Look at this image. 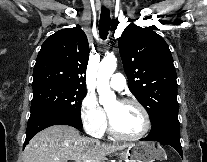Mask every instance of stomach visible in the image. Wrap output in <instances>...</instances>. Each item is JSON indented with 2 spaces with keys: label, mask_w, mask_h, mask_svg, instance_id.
<instances>
[{
  "label": "stomach",
  "mask_w": 207,
  "mask_h": 162,
  "mask_svg": "<svg viewBox=\"0 0 207 162\" xmlns=\"http://www.w3.org/2000/svg\"><path fill=\"white\" fill-rule=\"evenodd\" d=\"M118 155L126 162H155L167 158L165 150L154 142L132 143Z\"/></svg>",
  "instance_id": "1"
}]
</instances>
